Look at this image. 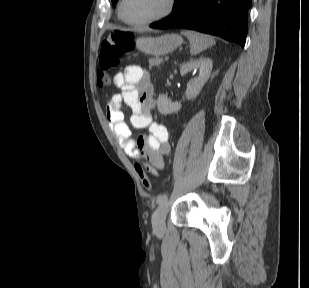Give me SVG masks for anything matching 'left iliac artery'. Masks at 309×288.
Masks as SVG:
<instances>
[{
    "mask_svg": "<svg viewBox=\"0 0 309 288\" xmlns=\"http://www.w3.org/2000/svg\"><path fill=\"white\" fill-rule=\"evenodd\" d=\"M167 200H168L167 195L163 194V195H161V196L158 197L157 202H158L159 204H161V203H163V202H165V201H167Z\"/></svg>",
    "mask_w": 309,
    "mask_h": 288,
    "instance_id": "left-iliac-artery-1",
    "label": "left iliac artery"
}]
</instances>
